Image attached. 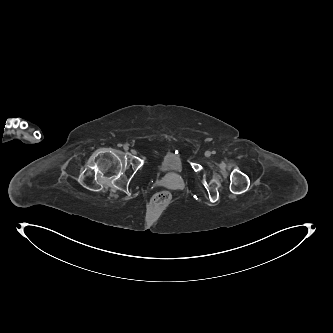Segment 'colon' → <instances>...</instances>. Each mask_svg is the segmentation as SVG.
Returning <instances> with one entry per match:
<instances>
[{
  "instance_id": "colon-1",
  "label": "colon",
  "mask_w": 333,
  "mask_h": 333,
  "mask_svg": "<svg viewBox=\"0 0 333 333\" xmlns=\"http://www.w3.org/2000/svg\"><path fill=\"white\" fill-rule=\"evenodd\" d=\"M172 202V194L169 191L163 190L156 193L151 199V206L157 210H164Z\"/></svg>"
}]
</instances>
